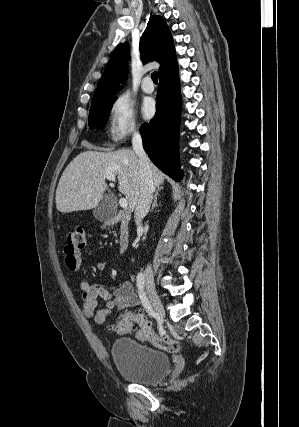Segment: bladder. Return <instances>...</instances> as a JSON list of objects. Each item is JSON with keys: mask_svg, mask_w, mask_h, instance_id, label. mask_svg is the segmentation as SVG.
<instances>
[{"mask_svg": "<svg viewBox=\"0 0 299 427\" xmlns=\"http://www.w3.org/2000/svg\"><path fill=\"white\" fill-rule=\"evenodd\" d=\"M111 354L118 373L141 385L157 384L170 372L171 363L166 353L133 339L114 340Z\"/></svg>", "mask_w": 299, "mask_h": 427, "instance_id": "1", "label": "bladder"}]
</instances>
